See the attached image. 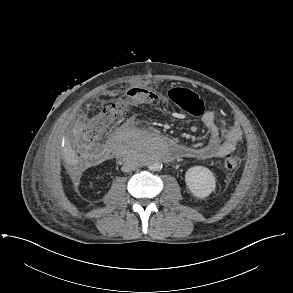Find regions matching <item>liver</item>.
<instances>
[{"instance_id": "liver-1", "label": "liver", "mask_w": 293, "mask_h": 293, "mask_svg": "<svg viewBox=\"0 0 293 293\" xmlns=\"http://www.w3.org/2000/svg\"><path fill=\"white\" fill-rule=\"evenodd\" d=\"M62 157L68 166L75 167L79 163L78 156L72 149L69 141L65 142V146L62 149Z\"/></svg>"}]
</instances>
